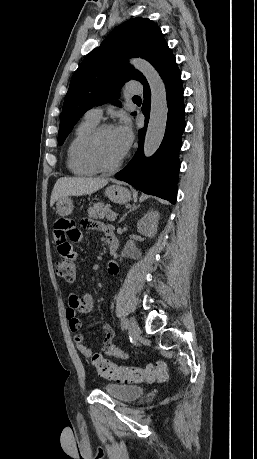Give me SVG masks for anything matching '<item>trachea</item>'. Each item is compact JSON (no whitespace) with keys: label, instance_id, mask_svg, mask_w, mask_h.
Here are the masks:
<instances>
[{"label":"trachea","instance_id":"3493384b","mask_svg":"<svg viewBox=\"0 0 257 459\" xmlns=\"http://www.w3.org/2000/svg\"><path fill=\"white\" fill-rule=\"evenodd\" d=\"M134 98H139V96H134Z\"/></svg>","mask_w":257,"mask_h":459}]
</instances>
